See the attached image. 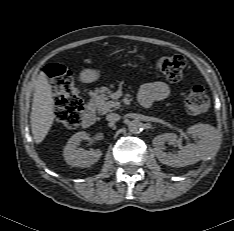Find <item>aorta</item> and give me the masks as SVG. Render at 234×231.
Returning <instances> with one entry per match:
<instances>
[{"label": "aorta", "mask_w": 234, "mask_h": 231, "mask_svg": "<svg viewBox=\"0 0 234 231\" xmlns=\"http://www.w3.org/2000/svg\"><path fill=\"white\" fill-rule=\"evenodd\" d=\"M128 130L133 134H139L143 130V123L140 120H132L128 123Z\"/></svg>", "instance_id": "1"}]
</instances>
